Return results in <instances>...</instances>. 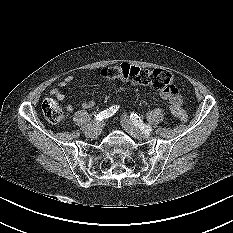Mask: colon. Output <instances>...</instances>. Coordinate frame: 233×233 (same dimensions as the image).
<instances>
[{
  "instance_id": "obj_1",
  "label": "colon",
  "mask_w": 233,
  "mask_h": 233,
  "mask_svg": "<svg viewBox=\"0 0 233 233\" xmlns=\"http://www.w3.org/2000/svg\"><path fill=\"white\" fill-rule=\"evenodd\" d=\"M101 75L109 81L120 80L150 86L159 91L176 90L173 75L164 69L146 70L124 63L103 69ZM41 109L46 120L52 124H59L64 119L62 106L52 98L44 99ZM180 119L186 121L187 115L182 114Z\"/></svg>"
}]
</instances>
